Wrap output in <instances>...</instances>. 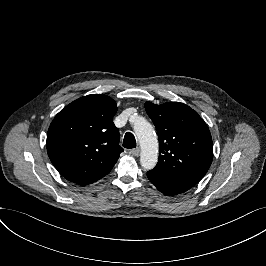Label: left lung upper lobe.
Listing matches in <instances>:
<instances>
[{
  "instance_id": "obj_1",
  "label": "left lung upper lobe",
  "mask_w": 266,
  "mask_h": 266,
  "mask_svg": "<svg viewBox=\"0 0 266 266\" xmlns=\"http://www.w3.org/2000/svg\"><path fill=\"white\" fill-rule=\"evenodd\" d=\"M145 110L159 138V161L152 171L193 187L205 176L213 159L208 126L183 103L146 102Z\"/></svg>"
}]
</instances>
